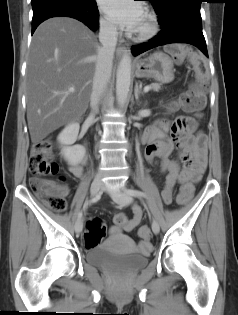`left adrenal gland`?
I'll use <instances>...</instances> for the list:
<instances>
[{
	"mask_svg": "<svg viewBox=\"0 0 238 315\" xmlns=\"http://www.w3.org/2000/svg\"><path fill=\"white\" fill-rule=\"evenodd\" d=\"M140 94H143L142 90H141V86L138 85V83L135 84V90H134V95H135V99L138 100V97Z\"/></svg>",
	"mask_w": 238,
	"mask_h": 315,
	"instance_id": "1",
	"label": "left adrenal gland"
}]
</instances>
